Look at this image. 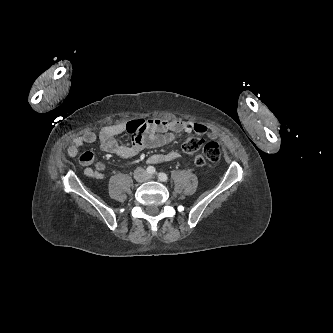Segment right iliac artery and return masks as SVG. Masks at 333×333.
Returning <instances> with one entry per match:
<instances>
[{
	"label": "right iliac artery",
	"instance_id": "1",
	"mask_svg": "<svg viewBox=\"0 0 333 333\" xmlns=\"http://www.w3.org/2000/svg\"><path fill=\"white\" fill-rule=\"evenodd\" d=\"M146 170H147V173H149V174L155 173V168L153 166H149Z\"/></svg>",
	"mask_w": 333,
	"mask_h": 333
}]
</instances>
